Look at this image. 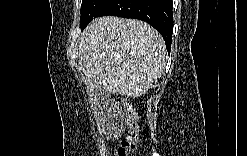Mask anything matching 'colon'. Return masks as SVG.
I'll return each mask as SVG.
<instances>
[{
  "label": "colon",
  "instance_id": "5ec220e1",
  "mask_svg": "<svg viewBox=\"0 0 247 156\" xmlns=\"http://www.w3.org/2000/svg\"><path fill=\"white\" fill-rule=\"evenodd\" d=\"M116 117L126 128V134L117 149L116 156L131 155L135 151L138 142L139 129L135 112L128 100L123 98L119 100V112Z\"/></svg>",
  "mask_w": 247,
  "mask_h": 156
}]
</instances>
